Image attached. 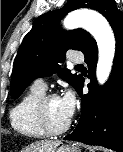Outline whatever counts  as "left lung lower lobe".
<instances>
[{"label": "left lung lower lobe", "mask_w": 123, "mask_h": 152, "mask_svg": "<svg viewBox=\"0 0 123 152\" xmlns=\"http://www.w3.org/2000/svg\"><path fill=\"white\" fill-rule=\"evenodd\" d=\"M116 38V54L109 80L103 87L96 82L97 45L94 41L84 53L91 82L89 93L82 94L81 77L76 91L82 97L81 118L74 131L64 140L101 145L123 152V12L118 9L107 17Z\"/></svg>", "instance_id": "1"}]
</instances>
